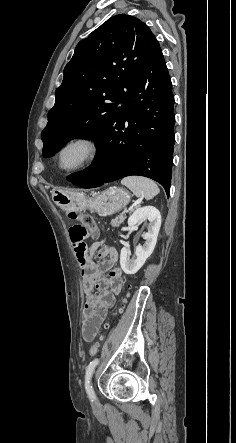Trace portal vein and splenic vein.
<instances>
[{
	"label": "portal vein and splenic vein",
	"instance_id": "portal-vein-and-splenic-vein-1",
	"mask_svg": "<svg viewBox=\"0 0 236 443\" xmlns=\"http://www.w3.org/2000/svg\"><path fill=\"white\" fill-rule=\"evenodd\" d=\"M139 204H140V201L135 202L134 205L131 206V207L129 208L128 211H132V210L134 209V207H136V206L139 205ZM128 211H127V212H128Z\"/></svg>",
	"mask_w": 236,
	"mask_h": 443
}]
</instances>
